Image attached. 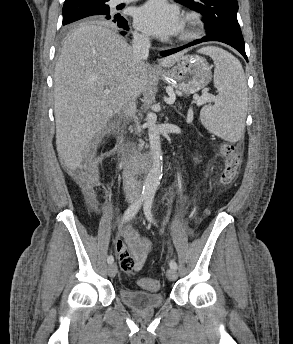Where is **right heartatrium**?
Segmentation results:
<instances>
[{"label": "right heart atrium", "instance_id": "d8ad5b80", "mask_svg": "<svg viewBox=\"0 0 293 344\" xmlns=\"http://www.w3.org/2000/svg\"><path fill=\"white\" fill-rule=\"evenodd\" d=\"M138 39H143L144 37L142 35H137Z\"/></svg>", "mask_w": 293, "mask_h": 344}]
</instances>
